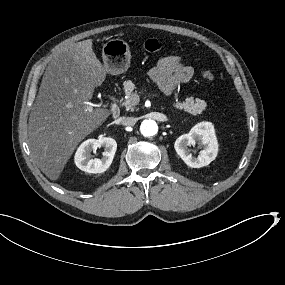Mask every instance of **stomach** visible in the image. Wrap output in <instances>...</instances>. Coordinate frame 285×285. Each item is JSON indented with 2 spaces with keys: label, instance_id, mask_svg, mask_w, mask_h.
Wrapping results in <instances>:
<instances>
[{
  "label": "stomach",
  "instance_id": "1",
  "mask_svg": "<svg viewBox=\"0 0 285 285\" xmlns=\"http://www.w3.org/2000/svg\"><path fill=\"white\" fill-rule=\"evenodd\" d=\"M102 59L111 74H120L130 66V45L123 39H110L103 45Z\"/></svg>",
  "mask_w": 285,
  "mask_h": 285
}]
</instances>
